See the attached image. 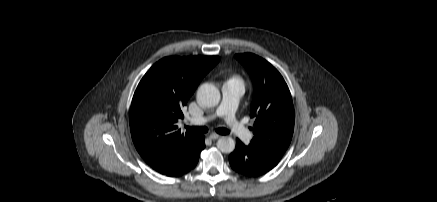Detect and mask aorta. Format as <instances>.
I'll list each match as a JSON object with an SVG mask.
<instances>
[{
    "label": "aorta",
    "instance_id": "762f6f07",
    "mask_svg": "<svg viewBox=\"0 0 437 202\" xmlns=\"http://www.w3.org/2000/svg\"><path fill=\"white\" fill-rule=\"evenodd\" d=\"M220 91L211 83L202 84L197 91V101L204 107H215L220 101ZM217 148L223 153H231L235 149V141L223 136L217 141Z\"/></svg>",
    "mask_w": 437,
    "mask_h": 202
}]
</instances>
